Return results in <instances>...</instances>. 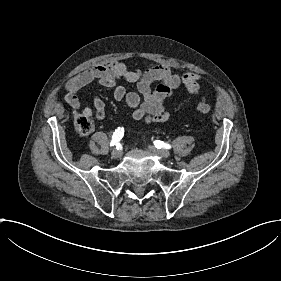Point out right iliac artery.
I'll list each match as a JSON object with an SVG mask.
<instances>
[{"label": "right iliac artery", "instance_id": "82829eb1", "mask_svg": "<svg viewBox=\"0 0 281 281\" xmlns=\"http://www.w3.org/2000/svg\"><path fill=\"white\" fill-rule=\"evenodd\" d=\"M123 135H124V128L118 127V129H116L115 132L113 133L110 146L117 145L118 142L122 139Z\"/></svg>", "mask_w": 281, "mask_h": 281}]
</instances>
